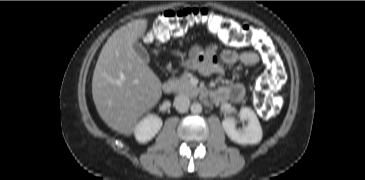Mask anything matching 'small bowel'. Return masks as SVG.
I'll list each match as a JSON object with an SVG mask.
<instances>
[{
    "label": "small bowel",
    "mask_w": 365,
    "mask_h": 180,
    "mask_svg": "<svg viewBox=\"0 0 365 180\" xmlns=\"http://www.w3.org/2000/svg\"><path fill=\"white\" fill-rule=\"evenodd\" d=\"M219 47L209 45L206 47H192L182 64L190 69L196 70L203 75L223 74L224 68L221 62L229 66H253L259 63L257 54L251 51L236 52L231 49H224L218 56ZM245 95V88L242 84H232L219 88L215 93V98L219 100H232L239 102Z\"/></svg>",
    "instance_id": "1"
}]
</instances>
